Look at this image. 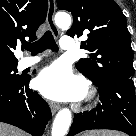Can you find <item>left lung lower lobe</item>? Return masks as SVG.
I'll return each mask as SVG.
<instances>
[{
    "label": "left lung lower lobe",
    "instance_id": "1",
    "mask_svg": "<svg viewBox=\"0 0 136 136\" xmlns=\"http://www.w3.org/2000/svg\"><path fill=\"white\" fill-rule=\"evenodd\" d=\"M95 83V82H94ZM99 88L101 103L97 108L74 116L68 136L84 130L111 129L136 136V102L132 79H109Z\"/></svg>",
    "mask_w": 136,
    "mask_h": 136
}]
</instances>
